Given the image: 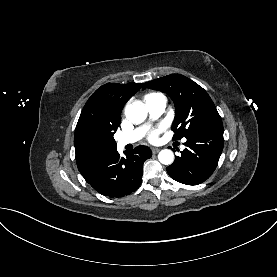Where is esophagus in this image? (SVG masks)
Listing matches in <instances>:
<instances>
[{
	"label": "esophagus",
	"mask_w": 277,
	"mask_h": 277,
	"mask_svg": "<svg viewBox=\"0 0 277 277\" xmlns=\"http://www.w3.org/2000/svg\"><path fill=\"white\" fill-rule=\"evenodd\" d=\"M151 150L155 154V153H158L160 151V148L153 147Z\"/></svg>",
	"instance_id": "obj_1"
}]
</instances>
